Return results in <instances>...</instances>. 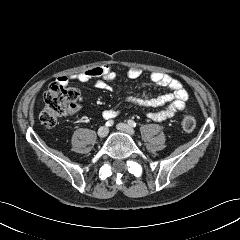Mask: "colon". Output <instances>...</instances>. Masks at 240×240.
I'll return each mask as SVG.
<instances>
[{"instance_id": "colon-1", "label": "colon", "mask_w": 240, "mask_h": 240, "mask_svg": "<svg viewBox=\"0 0 240 240\" xmlns=\"http://www.w3.org/2000/svg\"><path fill=\"white\" fill-rule=\"evenodd\" d=\"M78 98L79 93L76 89L53 84L44 95L41 122L46 126H54L77 107ZM179 121L185 132H192L195 129L196 121L191 114L182 113Z\"/></svg>"}]
</instances>
